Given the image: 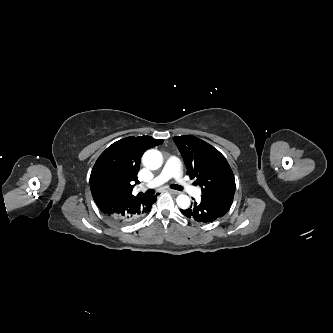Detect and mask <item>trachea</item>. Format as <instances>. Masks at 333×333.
<instances>
[{"mask_svg":"<svg viewBox=\"0 0 333 333\" xmlns=\"http://www.w3.org/2000/svg\"><path fill=\"white\" fill-rule=\"evenodd\" d=\"M170 188L175 189V190H178V191H182V190H183L181 186L176 185V184H172V185H170ZM145 194H146V195H153V194H155V191H154L153 189H149V190H147V191L145 192Z\"/></svg>","mask_w":333,"mask_h":333,"instance_id":"obj_1","label":"trachea"}]
</instances>
